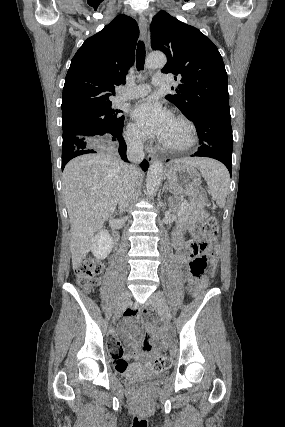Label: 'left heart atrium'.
I'll return each instance as SVG.
<instances>
[{
	"mask_svg": "<svg viewBox=\"0 0 285 427\" xmlns=\"http://www.w3.org/2000/svg\"><path fill=\"white\" fill-rule=\"evenodd\" d=\"M132 117L148 135L162 141L173 119L170 112L154 98L139 101L132 110Z\"/></svg>",
	"mask_w": 285,
	"mask_h": 427,
	"instance_id": "left-heart-atrium-1",
	"label": "left heart atrium"
}]
</instances>
